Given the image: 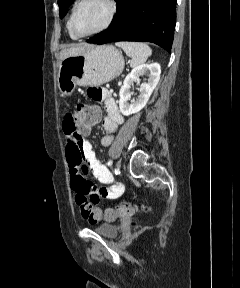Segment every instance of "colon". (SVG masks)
<instances>
[{"label":"colon","instance_id":"obj_1","mask_svg":"<svg viewBox=\"0 0 240 288\" xmlns=\"http://www.w3.org/2000/svg\"><path fill=\"white\" fill-rule=\"evenodd\" d=\"M100 118V109L97 106L78 104L72 112V119L77 128L89 130L94 127ZM98 199L83 194H77L75 201L82 217L89 222L100 220L114 221L117 218H128L138 211V206L133 203L123 202L119 205L102 210L95 206Z\"/></svg>","mask_w":240,"mask_h":288}]
</instances>
